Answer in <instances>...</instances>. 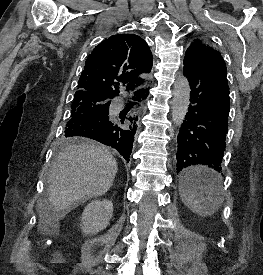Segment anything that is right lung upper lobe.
<instances>
[{
    "instance_id": "1",
    "label": "right lung upper lobe",
    "mask_w": 263,
    "mask_h": 275,
    "mask_svg": "<svg viewBox=\"0 0 263 275\" xmlns=\"http://www.w3.org/2000/svg\"><path fill=\"white\" fill-rule=\"evenodd\" d=\"M152 64L150 48L141 37L113 35L88 56L75 96L93 94L109 100L120 93V82L128 83L127 90L139 86L143 79L138 74L149 72Z\"/></svg>"
}]
</instances>
